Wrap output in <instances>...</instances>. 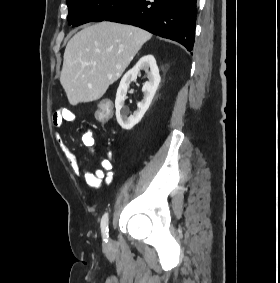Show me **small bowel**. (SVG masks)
I'll list each match as a JSON object with an SVG mask.
<instances>
[{
    "instance_id": "1",
    "label": "small bowel",
    "mask_w": 280,
    "mask_h": 283,
    "mask_svg": "<svg viewBox=\"0 0 280 283\" xmlns=\"http://www.w3.org/2000/svg\"><path fill=\"white\" fill-rule=\"evenodd\" d=\"M75 114L73 111L67 108H61L53 115V123L55 126H62L65 122H71L75 120ZM56 140L60 145V148L68 161V164L75 175L83 176L87 185L92 188L98 189L102 185V181L105 179L107 182L111 180V171L113 169V162L110 158H101V168L90 171L82 169L75 153L67 146L64 139L60 134L56 135ZM81 143L88 148L91 154H97L94 148L95 136L93 132H85L80 137Z\"/></svg>"
}]
</instances>
